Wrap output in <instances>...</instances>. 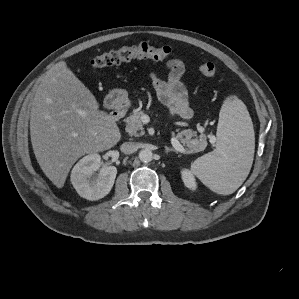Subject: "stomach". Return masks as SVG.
<instances>
[{"mask_svg": "<svg viewBox=\"0 0 299 299\" xmlns=\"http://www.w3.org/2000/svg\"><path fill=\"white\" fill-rule=\"evenodd\" d=\"M108 98L111 100L113 107H120L128 103V93L125 90H114Z\"/></svg>", "mask_w": 299, "mask_h": 299, "instance_id": "1", "label": "stomach"}]
</instances>
